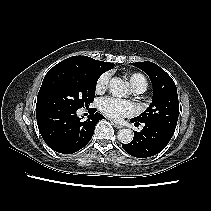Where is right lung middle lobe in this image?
<instances>
[{
	"label": "right lung middle lobe",
	"instance_id": "dd1d6c3e",
	"mask_svg": "<svg viewBox=\"0 0 211 211\" xmlns=\"http://www.w3.org/2000/svg\"><path fill=\"white\" fill-rule=\"evenodd\" d=\"M100 73L57 64L48 71L37 96L36 110L49 108L79 109L94 100Z\"/></svg>",
	"mask_w": 211,
	"mask_h": 211
}]
</instances>
